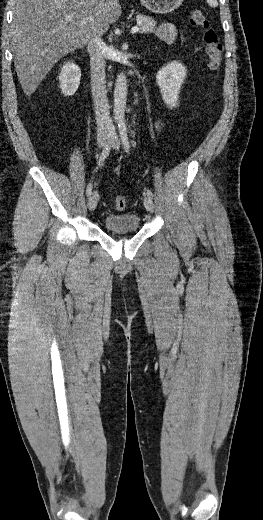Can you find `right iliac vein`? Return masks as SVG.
<instances>
[{
	"mask_svg": "<svg viewBox=\"0 0 263 520\" xmlns=\"http://www.w3.org/2000/svg\"><path fill=\"white\" fill-rule=\"evenodd\" d=\"M110 133L106 130H102L98 134V146L99 148H104L107 142ZM98 203V194L96 192L92 193L88 199L87 206L90 211L95 210Z\"/></svg>",
	"mask_w": 263,
	"mask_h": 520,
	"instance_id": "63e3f726",
	"label": "right iliac vein"
}]
</instances>
